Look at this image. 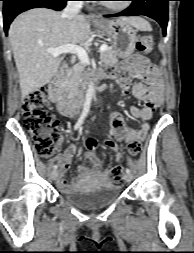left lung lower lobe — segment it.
Here are the masks:
<instances>
[{
  "mask_svg": "<svg viewBox=\"0 0 194 253\" xmlns=\"http://www.w3.org/2000/svg\"><path fill=\"white\" fill-rule=\"evenodd\" d=\"M129 1H132L130 7L117 14L105 15V17L145 15L155 19L161 25L163 33L166 34V27L168 22V1L170 0Z\"/></svg>",
  "mask_w": 194,
  "mask_h": 253,
  "instance_id": "0a47b994",
  "label": "left lung lower lobe"
}]
</instances>
